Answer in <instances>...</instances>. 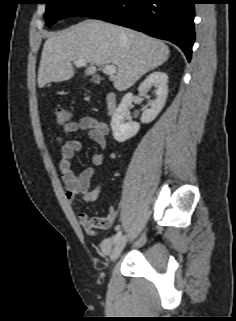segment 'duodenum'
<instances>
[{"label": "duodenum", "instance_id": "obj_1", "mask_svg": "<svg viewBox=\"0 0 236 321\" xmlns=\"http://www.w3.org/2000/svg\"><path fill=\"white\" fill-rule=\"evenodd\" d=\"M106 106L109 115H113L117 109V97L113 92H108L106 95Z\"/></svg>", "mask_w": 236, "mask_h": 321}]
</instances>
